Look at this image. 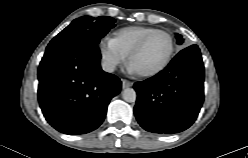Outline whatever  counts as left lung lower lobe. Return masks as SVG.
I'll return each mask as SVG.
<instances>
[{"label":"left lung lower lobe","instance_id":"left-lung-lower-lobe-1","mask_svg":"<svg viewBox=\"0 0 248 158\" xmlns=\"http://www.w3.org/2000/svg\"><path fill=\"white\" fill-rule=\"evenodd\" d=\"M204 65L197 45L180 51L155 76L134 84L138 123L153 133L173 134L196 120L204 100Z\"/></svg>","mask_w":248,"mask_h":158}]
</instances>
